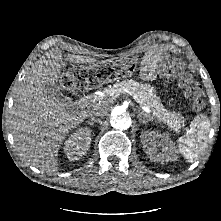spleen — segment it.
I'll return each mask as SVG.
<instances>
[{
  "label": "spleen",
  "instance_id": "3e777b00",
  "mask_svg": "<svg viewBox=\"0 0 221 221\" xmlns=\"http://www.w3.org/2000/svg\"><path fill=\"white\" fill-rule=\"evenodd\" d=\"M209 131L210 121L207 116L199 115L191 123L187 134L179 138V151L188 162H194L203 153L208 141Z\"/></svg>",
  "mask_w": 221,
  "mask_h": 221
}]
</instances>
